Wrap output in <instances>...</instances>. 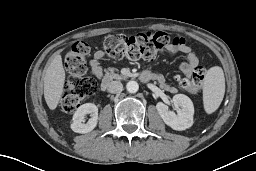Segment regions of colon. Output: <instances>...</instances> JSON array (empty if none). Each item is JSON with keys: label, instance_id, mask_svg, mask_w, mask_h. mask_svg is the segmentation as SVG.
Instances as JSON below:
<instances>
[{"label": "colon", "instance_id": "colon-1", "mask_svg": "<svg viewBox=\"0 0 256 171\" xmlns=\"http://www.w3.org/2000/svg\"><path fill=\"white\" fill-rule=\"evenodd\" d=\"M170 37L165 32H146L136 35H110L104 41L105 53L113 59H154L169 44ZM89 45L84 41L73 43L65 57V68L69 77L65 83L60 107L64 112L76 110L83 100L96 90L93 77L87 75ZM205 69L198 66L190 77L177 76L176 81L186 91L195 93L201 90Z\"/></svg>", "mask_w": 256, "mask_h": 171}]
</instances>
